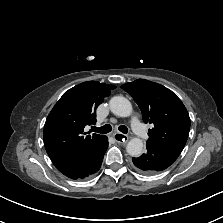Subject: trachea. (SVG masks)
I'll return each mask as SVG.
<instances>
[{
	"mask_svg": "<svg viewBox=\"0 0 223 223\" xmlns=\"http://www.w3.org/2000/svg\"><path fill=\"white\" fill-rule=\"evenodd\" d=\"M118 129H119V131H121L124 134H126L128 132L127 127L124 126V125L119 126ZM111 130H112V127L109 124H106V125H104V126H102L100 128H97V127L93 128L94 132H98V133H101V134L109 133V132H111Z\"/></svg>",
	"mask_w": 223,
	"mask_h": 223,
	"instance_id": "3493384b",
	"label": "trachea"
}]
</instances>
